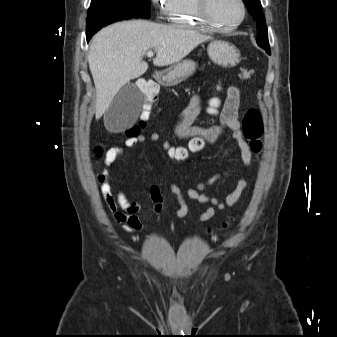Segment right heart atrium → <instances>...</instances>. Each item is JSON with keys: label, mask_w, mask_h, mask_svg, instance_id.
<instances>
[{"label": "right heart atrium", "mask_w": 337, "mask_h": 337, "mask_svg": "<svg viewBox=\"0 0 337 337\" xmlns=\"http://www.w3.org/2000/svg\"><path fill=\"white\" fill-rule=\"evenodd\" d=\"M169 1L170 0H151L153 5L157 7L160 15H167Z\"/></svg>", "instance_id": "obj_1"}]
</instances>
